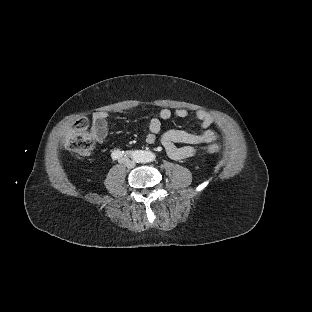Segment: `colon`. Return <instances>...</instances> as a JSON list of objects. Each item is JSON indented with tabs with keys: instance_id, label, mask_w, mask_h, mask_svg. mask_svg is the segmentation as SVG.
<instances>
[{
	"instance_id": "5ec220e1",
	"label": "colon",
	"mask_w": 312,
	"mask_h": 312,
	"mask_svg": "<svg viewBox=\"0 0 312 312\" xmlns=\"http://www.w3.org/2000/svg\"><path fill=\"white\" fill-rule=\"evenodd\" d=\"M72 127L75 131L65 138L68 150L79 155L88 154L95 144V138L88 129V120L83 116H78L73 120ZM219 150L220 147L216 143H211L206 146V151L209 154H215Z\"/></svg>"
}]
</instances>
